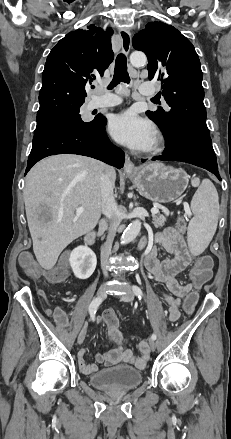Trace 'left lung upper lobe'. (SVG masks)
<instances>
[{"mask_svg":"<svg viewBox=\"0 0 231 439\" xmlns=\"http://www.w3.org/2000/svg\"><path fill=\"white\" fill-rule=\"evenodd\" d=\"M133 47L147 55L149 80L162 84L161 94L171 107L170 112L162 108L146 112L164 137L178 129L210 135L203 103V74L192 43L173 26L155 21L134 35Z\"/></svg>","mask_w":231,"mask_h":439,"instance_id":"1","label":"left lung upper lobe"}]
</instances>
